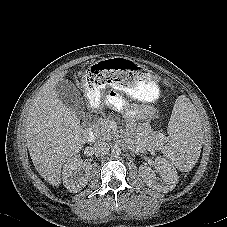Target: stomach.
Instances as JSON below:
<instances>
[{
    "instance_id": "1",
    "label": "stomach",
    "mask_w": 227,
    "mask_h": 227,
    "mask_svg": "<svg viewBox=\"0 0 227 227\" xmlns=\"http://www.w3.org/2000/svg\"><path fill=\"white\" fill-rule=\"evenodd\" d=\"M84 87L91 107L99 103V91L103 87L113 90L123 88L133 99L140 101H153L159 94L150 70L128 57L96 60L87 70Z\"/></svg>"
}]
</instances>
